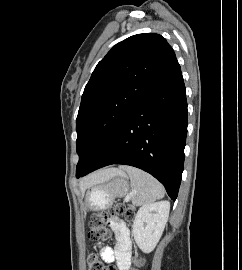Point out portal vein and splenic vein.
<instances>
[{
    "label": "portal vein and splenic vein",
    "instance_id": "obj_1",
    "mask_svg": "<svg viewBox=\"0 0 242 270\" xmlns=\"http://www.w3.org/2000/svg\"><path fill=\"white\" fill-rule=\"evenodd\" d=\"M132 194H133V193H131V194H129V195L126 196V198H125V201H126V202H128V201L130 200Z\"/></svg>",
    "mask_w": 242,
    "mask_h": 270
}]
</instances>
